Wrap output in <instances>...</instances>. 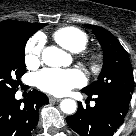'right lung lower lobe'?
Returning a JSON list of instances; mask_svg holds the SVG:
<instances>
[{
	"mask_svg": "<svg viewBox=\"0 0 136 136\" xmlns=\"http://www.w3.org/2000/svg\"><path fill=\"white\" fill-rule=\"evenodd\" d=\"M46 103L48 97L36 90L24 100H16L15 93L0 94V136H27L38 123L39 108Z\"/></svg>",
	"mask_w": 136,
	"mask_h": 136,
	"instance_id": "1",
	"label": "right lung lower lobe"
}]
</instances>
